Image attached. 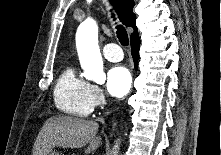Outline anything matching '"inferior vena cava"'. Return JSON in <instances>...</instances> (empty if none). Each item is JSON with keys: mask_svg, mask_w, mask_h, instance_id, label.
I'll list each match as a JSON object with an SVG mask.
<instances>
[{"mask_svg": "<svg viewBox=\"0 0 221 155\" xmlns=\"http://www.w3.org/2000/svg\"><path fill=\"white\" fill-rule=\"evenodd\" d=\"M97 120H98V121H101V122H103V121H104V119H103V118H98Z\"/></svg>", "mask_w": 221, "mask_h": 155, "instance_id": "1", "label": "inferior vena cava"}]
</instances>
